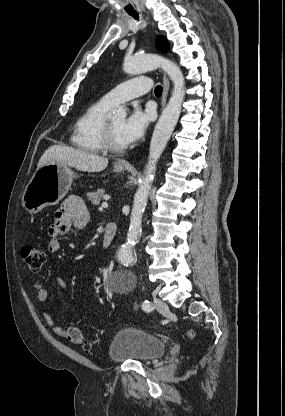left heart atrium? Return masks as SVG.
Here are the masks:
<instances>
[{
	"instance_id": "obj_1",
	"label": "left heart atrium",
	"mask_w": 285,
	"mask_h": 416,
	"mask_svg": "<svg viewBox=\"0 0 285 416\" xmlns=\"http://www.w3.org/2000/svg\"><path fill=\"white\" fill-rule=\"evenodd\" d=\"M149 120V112H143L139 107H134L120 128L123 143L129 145L138 141L144 135Z\"/></svg>"
}]
</instances>
